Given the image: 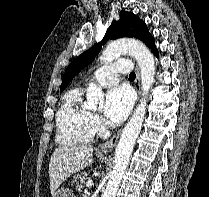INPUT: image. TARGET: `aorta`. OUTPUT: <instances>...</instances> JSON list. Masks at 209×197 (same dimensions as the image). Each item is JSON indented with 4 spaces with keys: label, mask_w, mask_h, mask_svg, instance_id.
Segmentation results:
<instances>
[{
    "label": "aorta",
    "mask_w": 209,
    "mask_h": 197,
    "mask_svg": "<svg viewBox=\"0 0 209 197\" xmlns=\"http://www.w3.org/2000/svg\"><path fill=\"white\" fill-rule=\"evenodd\" d=\"M125 53L132 55L140 67L143 97L137 105L132 118L122 131L115 149L114 168L102 197H115L116 195L128 167L136 139L142 128L146 114L147 95L152 88L155 77V62L152 53L142 42L134 39H122L110 43L100 56V60L101 62H111ZM86 98V107L95 108L99 101L103 99L102 89L91 82L87 88Z\"/></svg>",
    "instance_id": "obj_1"
}]
</instances>
